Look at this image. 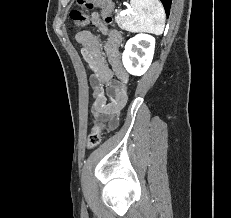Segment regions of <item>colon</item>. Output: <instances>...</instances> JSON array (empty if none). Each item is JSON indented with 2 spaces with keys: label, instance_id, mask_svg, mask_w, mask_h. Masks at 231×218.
Returning a JSON list of instances; mask_svg holds the SVG:
<instances>
[{
  "label": "colon",
  "instance_id": "5ec220e1",
  "mask_svg": "<svg viewBox=\"0 0 231 218\" xmlns=\"http://www.w3.org/2000/svg\"><path fill=\"white\" fill-rule=\"evenodd\" d=\"M77 2L80 6L87 9L100 8L104 23L107 25L112 23L113 18L111 12L113 6L110 0H77ZM70 18L76 27H83L89 23L88 15L80 10H72L70 12ZM104 129L105 125L102 122L94 125L87 140V147L89 149H93L100 144Z\"/></svg>",
  "mask_w": 231,
  "mask_h": 218
}]
</instances>
